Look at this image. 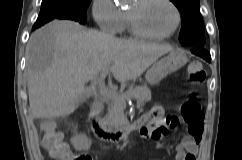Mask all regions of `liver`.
<instances>
[{
  "mask_svg": "<svg viewBox=\"0 0 242 160\" xmlns=\"http://www.w3.org/2000/svg\"><path fill=\"white\" fill-rule=\"evenodd\" d=\"M169 44L117 39L73 21H53L36 30L26 48V75L34 118L63 117L87 98L85 84L113 64L118 81L135 80Z\"/></svg>",
  "mask_w": 242,
  "mask_h": 160,
  "instance_id": "liver-1",
  "label": "liver"
}]
</instances>
